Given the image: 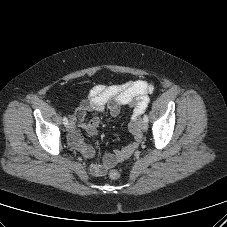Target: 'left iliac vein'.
I'll list each match as a JSON object with an SVG mask.
<instances>
[{
	"label": "left iliac vein",
	"mask_w": 227,
	"mask_h": 227,
	"mask_svg": "<svg viewBox=\"0 0 227 227\" xmlns=\"http://www.w3.org/2000/svg\"><path fill=\"white\" fill-rule=\"evenodd\" d=\"M139 127H140V129H141L142 131H146L147 128H148V124H147V122L141 120V121L139 122Z\"/></svg>",
	"instance_id": "obj_1"
}]
</instances>
